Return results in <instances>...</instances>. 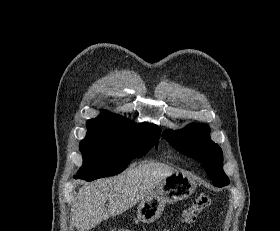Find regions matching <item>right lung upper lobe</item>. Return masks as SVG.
I'll return each instance as SVG.
<instances>
[{
	"label": "right lung upper lobe",
	"instance_id": "obj_1",
	"mask_svg": "<svg viewBox=\"0 0 280 231\" xmlns=\"http://www.w3.org/2000/svg\"><path fill=\"white\" fill-rule=\"evenodd\" d=\"M95 119H114V120L124 121V122L130 123V124H133V125H137V126H141V127L159 129L156 125H152V124H148V123H139V124L134 123L133 121H130V120L126 119L125 117H122V116L117 115V114L110 113L108 111L101 112V114ZM95 119H91V120H95Z\"/></svg>",
	"mask_w": 280,
	"mask_h": 231
}]
</instances>
